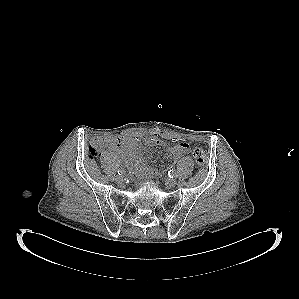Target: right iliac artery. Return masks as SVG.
Instances as JSON below:
<instances>
[{
  "label": "right iliac artery",
  "mask_w": 299,
  "mask_h": 299,
  "mask_svg": "<svg viewBox=\"0 0 299 299\" xmlns=\"http://www.w3.org/2000/svg\"><path fill=\"white\" fill-rule=\"evenodd\" d=\"M117 173H118V175H123L125 173V170L119 169Z\"/></svg>",
  "instance_id": "1"
}]
</instances>
